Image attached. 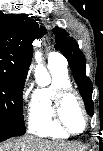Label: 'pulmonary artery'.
Returning a JSON list of instances; mask_svg holds the SVG:
<instances>
[{
    "mask_svg": "<svg viewBox=\"0 0 103 151\" xmlns=\"http://www.w3.org/2000/svg\"><path fill=\"white\" fill-rule=\"evenodd\" d=\"M48 64L58 65L60 67L66 68L67 61L63 55L57 52H51L48 56Z\"/></svg>",
    "mask_w": 103,
    "mask_h": 151,
    "instance_id": "obj_1",
    "label": "pulmonary artery"
}]
</instances>
